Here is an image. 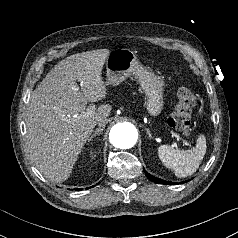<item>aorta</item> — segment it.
Here are the masks:
<instances>
[{"mask_svg": "<svg viewBox=\"0 0 238 238\" xmlns=\"http://www.w3.org/2000/svg\"><path fill=\"white\" fill-rule=\"evenodd\" d=\"M138 139L136 128L129 123H118L110 132V142L114 147L128 149L133 147Z\"/></svg>", "mask_w": 238, "mask_h": 238, "instance_id": "1", "label": "aorta"}]
</instances>
